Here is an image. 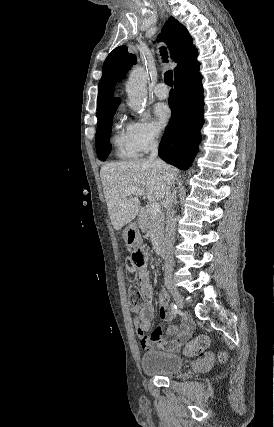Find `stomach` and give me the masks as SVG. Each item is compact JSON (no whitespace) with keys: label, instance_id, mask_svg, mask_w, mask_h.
<instances>
[{"label":"stomach","instance_id":"stomach-1","mask_svg":"<svg viewBox=\"0 0 274 427\" xmlns=\"http://www.w3.org/2000/svg\"><path fill=\"white\" fill-rule=\"evenodd\" d=\"M123 237L128 247H136L142 243V237L136 223H128L123 231Z\"/></svg>","mask_w":274,"mask_h":427}]
</instances>
